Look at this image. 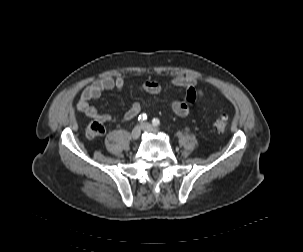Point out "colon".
<instances>
[{
	"label": "colon",
	"instance_id": "colon-1",
	"mask_svg": "<svg viewBox=\"0 0 303 252\" xmlns=\"http://www.w3.org/2000/svg\"><path fill=\"white\" fill-rule=\"evenodd\" d=\"M227 126L226 117L224 115L218 117L214 122L215 130L219 132L225 131ZM105 132V127L100 121H93L88 126L87 135L89 138H96L103 135Z\"/></svg>",
	"mask_w": 303,
	"mask_h": 252
}]
</instances>
